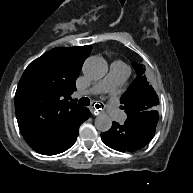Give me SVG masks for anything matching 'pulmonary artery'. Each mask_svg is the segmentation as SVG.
Wrapping results in <instances>:
<instances>
[{"mask_svg": "<svg viewBox=\"0 0 193 193\" xmlns=\"http://www.w3.org/2000/svg\"><path fill=\"white\" fill-rule=\"evenodd\" d=\"M130 69L127 65L121 62H115L110 67V72L102 81L92 86L86 94L95 95L102 94L109 91H114L124 82ZM109 114L113 121L122 124L124 122V115L122 111L116 106L109 107Z\"/></svg>", "mask_w": 193, "mask_h": 193, "instance_id": "1", "label": "pulmonary artery"}]
</instances>
